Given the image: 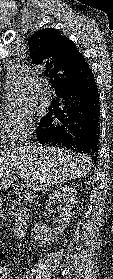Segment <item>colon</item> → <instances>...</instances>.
Instances as JSON below:
<instances>
[{
  "instance_id": "colon-1",
  "label": "colon",
  "mask_w": 113,
  "mask_h": 279,
  "mask_svg": "<svg viewBox=\"0 0 113 279\" xmlns=\"http://www.w3.org/2000/svg\"><path fill=\"white\" fill-rule=\"evenodd\" d=\"M2 253H3V250H2V248L0 247V260H1V257H2ZM0 269H1V267H0Z\"/></svg>"
}]
</instances>
